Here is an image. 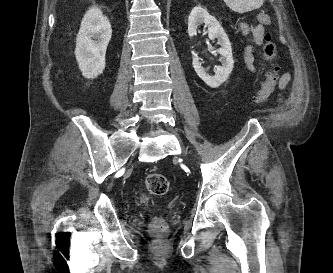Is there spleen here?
<instances>
[{
	"label": "spleen",
	"mask_w": 333,
	"mask_h": 273,
	"mask_svg": "<svg viewBox=\"0 0 333 273\" xmlns=\"http://www.w3.org/2000/svg\"><path fill=\"white\" fill-rule=\"evenodd\" d=\"M226 5L237 13H246L260 8L264 0H224Z\"/></svg>",
	"instance_id": "obj_1"
}]
</instances>
